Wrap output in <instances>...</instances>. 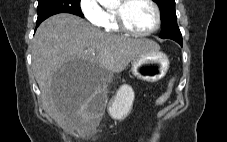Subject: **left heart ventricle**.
<instances>
[{"mask_svg":"<svg viewBox=\"0 0 227 142\" xmlns=\"http://www.w3.org/2000/svg\"><path fill=\"white\" fill-rule=\"evenodd\" d=\"M125 18L128 25L138 32L152 29L156 22L155 11L146 0H132L125 8Z\"/></svg>","mask_w":227,"mask_h":142,"instance_id":"left-heart-ventricle-1","label":"left heart ventricle"}]
</instances>
